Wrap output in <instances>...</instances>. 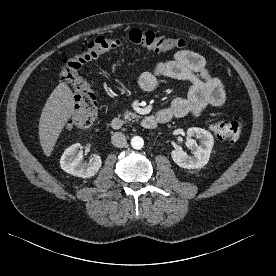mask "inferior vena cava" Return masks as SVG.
Segmentation results:
<instances>
[{
	"mask_svg": "<svg viewBox=\"0 0 276 276\" xmlns=\"http://www.w3.org/2000/svg\"><path fill=\"white\" fill-rule=\"evenodd\" d=\"M111 142L118 148L125 147L127 144L126 137L122 132H115L111 137Z\"/></svg>",
	"mask_w": 276,
	"mask_h": 276,
	"instance_id": "602c4592",
	"label": "inferior vena cava"
}]
</instances>
